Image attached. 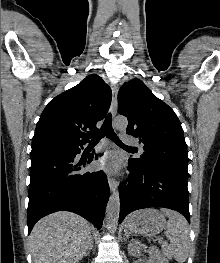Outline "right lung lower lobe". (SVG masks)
<instances>
[{
    "instance_id": "98d812e1",
    "label": "right lung lower lobe",
    "mask_w": 220,
    "mask_h": 263,
    "mask_svg": "<svg viewBox=\"0 0 220 263\" xmlns=\"http://www.w3.org/2000/svg\"><path fill=\"white\" fill-rule=\"evenodd\" d=\"M79 146L31 151L28 234L40 218L60 210L77 213L101 228L109 185L103 171H83L82 165L97 159V155L75 162Z\"/></svg>"
}]
</instances>
